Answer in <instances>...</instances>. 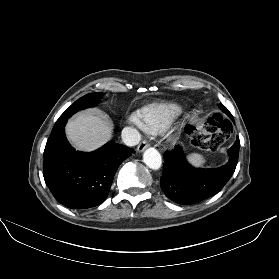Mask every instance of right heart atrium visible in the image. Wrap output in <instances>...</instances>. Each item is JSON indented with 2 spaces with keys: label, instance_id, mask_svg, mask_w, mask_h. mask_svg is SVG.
<instances>
[{
  "label": "right heart atrium",
  "instance_id": "d8ad5b80",
  "mask_svg": "<svg viewBox=\"0 0 279 279\" xmlns=\"http://www.w3.org/2000/svg\"><path fill=\"white\" fill-rule=\"evenodd\" d=\"M130 121L136 125H141V122L138 120L136 116H131Z\"/></svg>",
  "mask_w": 279,
  "mask_h": 279
}]
</instances>
